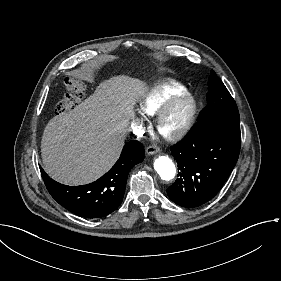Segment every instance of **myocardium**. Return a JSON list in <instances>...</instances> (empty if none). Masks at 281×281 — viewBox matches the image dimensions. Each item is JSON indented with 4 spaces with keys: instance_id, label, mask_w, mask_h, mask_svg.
Wrapping results in <instances>:
<instances>
[{
    "instance_id": "1",
    "label": "myocardium",
    "mask_w": 281,
    "mask_h": 281,
    "mask_svg": "<svg viewBox=\"0 0 281 281\" xmlns=\"http://www.w3.org/2000/svg\"><path fill=\"white\" fill-rule=\"evenodd\" d=\"M182 100H188L189 108L185 119L180 125L171 131L164 129V122L173 107ZM197 113V102L195 97L187 91L181 92L169 99L155 114L153 125L157 134L167 142H177L181 140L191 129Z\"/></svg>"
}]
</instances>
